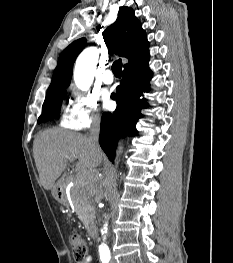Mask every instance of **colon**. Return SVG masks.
I'll use <instances>...</instances> for the list:
<instances>
[{"label": "colon", "mask_w": 233, "mask_h": 263, "mask_svg": "<svg viewBox=\"0 0 233 263\" xmlns=\"http://www.w3.org/2000/svg\"><path fill=\"white\" fill-rule=\"evenodd\" d=\"M70 243L74 259L77 263H80L87 254L86 241L81 234L73 232L70 235Z\"/></svg>", "instance_id": "obj_1"}]
</instances>
